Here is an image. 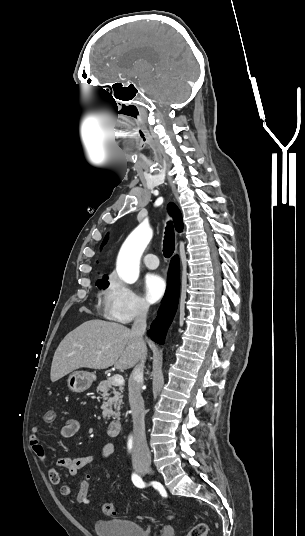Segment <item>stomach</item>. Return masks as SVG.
<instances>
[{"label":"stomach","instance_id":"obj_1","mask_svg":"<svg viewBox=\"0 0 305 536\" xmlns=\"http://www.w3.org/2000/svg\"><path fill=\"white\" fill-rule=\"evenodd\" d=\"M93 380H95V376L91 372H73L70 374L67 384L72 392H85L90 388Z\"/></svg>","mask_w":305,"mask_h":536}]
</instances>
